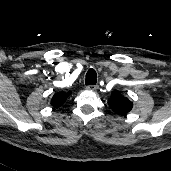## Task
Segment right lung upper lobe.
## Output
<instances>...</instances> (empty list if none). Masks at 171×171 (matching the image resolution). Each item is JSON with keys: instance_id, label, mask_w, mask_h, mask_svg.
Segmentation results:
<instances>
[{"instance_id": "right-lung-upper-lobe-1", "label": "right lung upper lobe", "mask_w": 171, "mask_h": 171, "mask_svg": "<svg viewBox=\"0 0 171 171\" xmlns=\"http://www.w3.org/2000/svg\"><path fill=\"white\" fill-rule=\"evenodd\" d=\"M71 94V92L65 93V94H60L57 93L52 97L51 100V105L54 108H59L60 106H62L64 104V102L66 101L67 97Z\"/></svg>"}]
</instances>
